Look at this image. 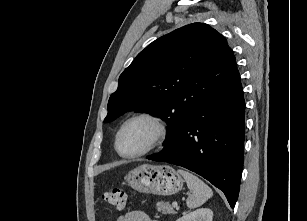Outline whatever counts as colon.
I'll return each instance as SVG.
<instances>
[{
	"mask_svg": "<svg viewBox=\"0 0 307 221\" xmlns=\"http://www.w3.org/2000/svg\"><path fill=\"white\" fill-rule=\"evenodd\" d=\"M102 198L107 204L117 209H123L128 201L127 194L119 188H111L107 190L103 193Z\"/></svg>",
	"mask_w": 307,
	"mask_h": 221,
	"instance_id": "obj_1",
	"label": "colon"
}]
</instances>
